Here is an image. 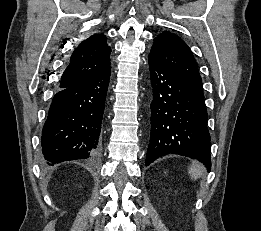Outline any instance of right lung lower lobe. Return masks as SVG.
<instances>
[{
  "instance_id": "obj_1",
  "label": "right lung lower lobe",
  "mask_w": 261,
  "mask_h": 231,
  "mask_svg": "<svg viewBox=\"0 0 261 231\" xmlns=\"http://www.w3.org/2000/svg\"><path fill=\"white\" fill-rule=\"evenodd\" d=\"M110 73L111 67L54 95L41 136L47 165L99 153Z\"/></svg>"
}]
</instances>
